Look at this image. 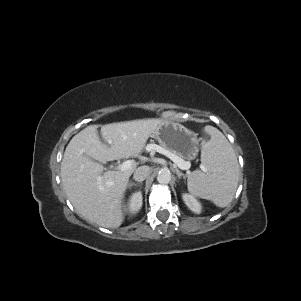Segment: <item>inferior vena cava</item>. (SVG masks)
Returning <instances> with one entry per match:
<instances>
[{"label":"inferior vena cava","instance_id":"1","mask_svg":"<svg viewBox=\"0 0 301 301\" xmlns=\"http://www.w3.org/2000/svg\"><path fill=\"white\" fill-rule=\"evenodd\" d=\"M150 169L148 166H140L134 171V180L137 182L144 181L149 175Z\"/></svg>","mask_w":301,"mask_h":301}]
</instances>
